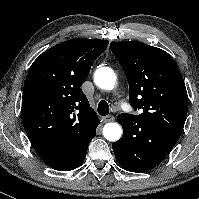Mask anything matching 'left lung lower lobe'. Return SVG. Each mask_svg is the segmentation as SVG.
<instances>
[{
  "label": "left lung lower lobe",
  "instance_id": "left-lung-lower-lobe-1",
  "mask_svg": "<svg viewBox=\"0 0 199 199\" xmlns=\"http://www.w3.org/2000/svg\"><path fill=\"white\" fill-rule=\"evenodd\" d=\"M117 120L123 135L112 143V149L117 162L127 171L145 172L156 167L179 139L133 116L119 115Z\"/></svg>",
  "mask_w": 199,
  "mask_h": 199
}]
</instances>
